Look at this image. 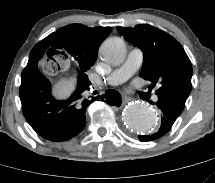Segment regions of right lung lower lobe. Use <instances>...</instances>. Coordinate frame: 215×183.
Here are the masks:
<instances>
[{
  "instance_id": "right-lung-lower-lobe-1",
  "label": "right lung lower lobe",
  "mask_w": 215,
  "mask_h": 183,
  "mask_svg": "<svg viewBox=\"0 0 215 183\" xmlns=\"http://www.w3.org/2000/svg\"><path fill=\"white\" fill-rule=\"evenodd\" d=\"M40 58L30 52L21 74L19 95L27 122L41 137L58 142L78 135L85 127V112L93 101L100 99L110 105H121L120 94L115 90H107L102 96L90 95L91 82L83 72L78 73L73 94L67 100H56L51 95L49 80L38 70Z\"/></svg>"
}]
</instances>
